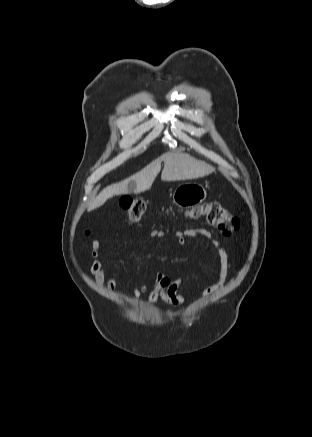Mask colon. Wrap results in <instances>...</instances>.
Returning a JSON list of instances; mask_svg holds the SVG:
<instances>
[{
	"label": "colon",
	"mask_w": 312,
	"mask_h": 437,
	"mask_svg": "<svg viewBox=\"0 0 312 437\" xmlns=\"http://www.w3.org/2000/svg\"><path fill=\"white\" fill-rule=\"evenodd\" d=\"M120 207L130 221H140L148 212V202L140 198L124 196L120 200ZM194 217H203L216 227L224 236H230L239 229L240 223L226 207L217 201L203 203L191 210Z\"/></svg>",
	"instance_id": "obj_1"
}]
</instances>
